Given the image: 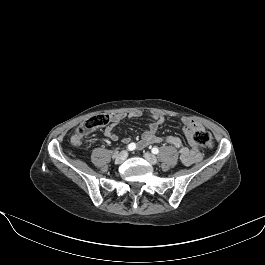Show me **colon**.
<instances>
[{
  "label": "colon",
  "mask_w": 265,
  "mask_h": 265,
  "mask_svg": "<svg viewBox=\"0 0 265 265\" xmlns=\"http://www.w3.org/2000/svg\"><path fill=\"white\" fill-rule=\"evenodd\" d=\"M110 122V116L107 114H98L84 121L76 130L72 137L74 144H80L84 137L90 136L95 130L107 125ZM195 141L204 149L213 147L214 141L212 134L207 130H198L194 135Z\"/></svg>",
  "instance_id": "1"
}]
</instances>
